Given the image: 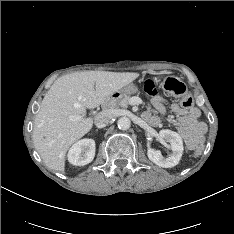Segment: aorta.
Returning <instances> with one entry per match:
<instances>
[{
  "label": "aorta",
  "mask_w": 234,
  "mask_h": 234,
  "mask_svg": "<svg viewBox=\"0 0 234 234\" xmlns=\"http://www.w3.org/2000/svg\"><path fill=\"white\" fill-rule=\"evenodd\" d=\"M118 128L121 130H127L130 128L131 126V121L128 117L123 116L121 118H119L118 122H117Z\"/></svg>",
  "instance_id": "aorta-1"
}]
</instances>
